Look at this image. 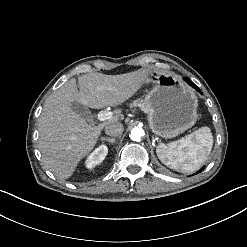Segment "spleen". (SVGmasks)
I'll use <instances>...</instances> for the list:
<instances>
[{"instance_id":"obj_1","label":"spleen","mask_w":247,"mask_h":247,"mask_svg":"<svg viewBox=\"0 0 247 247\" xmlns=\"http://www.w3.org/2000/svg\"><path fill=\"white\" fill-rule=\"evenodd\" d=\"M212 145L211 130L205 126L168 145L160 143L156 148V153L164 165L182 173H191L197 171L205 163ZM168 147L171 148L170 151Z\"/></svg>"}]
</instances>
